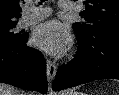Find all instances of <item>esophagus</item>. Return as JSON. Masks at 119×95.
<instances>
[{"label":"esophagus","instance_id":"34e87169","mask_svg":"<svg viewBox=\"0 0 119 95\" xmlns=\"http://www.w3.org/2000/svg\"><path fill=\"white\" fill-rule=\"evenodd\" d=\"M56 71H57V66L55 62H53L50 59H47L46 60V74H47V80L49 85L52 84V81L54 80L56 75Z\"/></svg>","mask_w":119,"mask_h":95}]
</instances>
